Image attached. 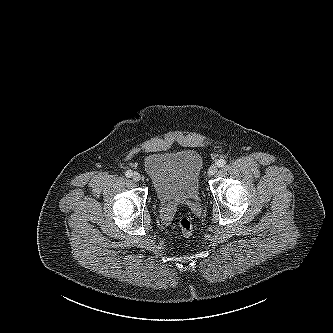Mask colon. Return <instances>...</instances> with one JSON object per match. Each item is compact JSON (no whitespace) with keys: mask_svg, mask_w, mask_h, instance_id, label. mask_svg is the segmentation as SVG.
Returning <instances> with one entry per match:
<instances>
[{"mask_svg":"<svg viewBox=\"0 0 333 333\" xmlns=\"http://www.w3.org/2000/svg\"><path fill=\"white\" fill-rule=\"evenodd\" d=\"M178 227H179V230L181 231V233L185 236L191 235L194 230L193 221L188 216H183L180 218V220L178 222Z\"/></svg>","mask_w":333,"mask_h":333,"instance_id":"5ec220e1","label":"colon"}]
</instances>
